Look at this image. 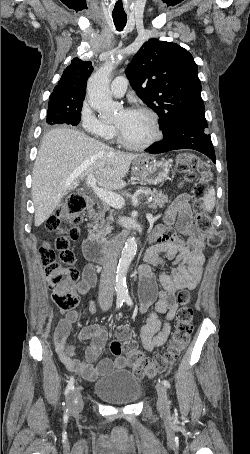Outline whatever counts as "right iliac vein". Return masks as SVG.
<instances>
[{"mask_svg": "<svg viewBox=\"0 0 250 454\" xmlns=\"http://www.w3.org/2000/svg\"><path fill=\"white\" fill-rule=\"evenodd\" d=\"M68 406L74 412H79L83 408V399L81 396V390L79 386H76L75 389L71 392L68 397Z\"/></svg>", "mask_w": 250, "mask_h": 454, "instance_id": "1", "label": "right iliac vein"}]
</instances>
